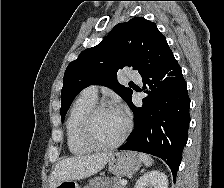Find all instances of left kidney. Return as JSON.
Segmentation results:
<instances>
[{
    "label": "left kidney",
    "mask_w": 224,
    "mask_h": 188,
    "mask_svg": "<svg viewBox=\"0 0 224 188\" xmlns=\"http://www.w3.org/2000/svg\"><path fill=\"white\" fill-rule=\"evenodd\" d=\"M134 188H168V179L161 171H150L138 179Z\"/></svg>",
    "instance_id": "1"
}]
</instances>
